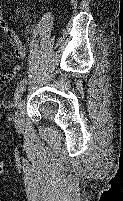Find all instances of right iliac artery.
Listing matches in <instances>:
<instances>
[{
	"mask_svg": "<svg viewBox=\"0 0 123 201\" xmlns=\"http://www.w3.org/2000/svg\"><path fill=\"white\" fill-rule=\"evenodd\" d=\"M25 83H26V79H23L19 82L17 88H16V92H15V96H14V101L15 104L17 105L20 101V98L22 96V93L24 91V87H25Z\"/></svg>",
	"mask_w": 123,
	"mask_h": 201,
	"instance_id": "obj_1",
	"label": "right iliac artery"
}]
</instances>
